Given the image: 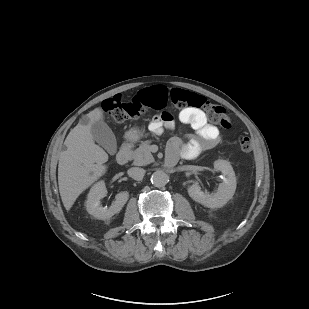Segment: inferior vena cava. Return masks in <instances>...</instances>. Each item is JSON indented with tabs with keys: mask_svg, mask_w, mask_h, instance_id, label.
I'll list each match as a JSON object with an SVG mask.
<instances>
[{
	"mask_svg": "<svg viewBox=\"0 0 309 309\" xmlns=\"http://www.w3.org/2000/svg\"><path fill=\"white\" fill-rule=\"evenodd\" d=\"M128 175L134 180L140 181L145 175V170L139 167H132L128 170Z\"/></svg>",
	"mask_w": 309,
	"mask_h": 309,
	"instance_id": "1",
	"label": "inferior vena cava"
}]
</instances>
